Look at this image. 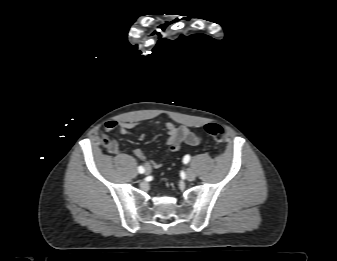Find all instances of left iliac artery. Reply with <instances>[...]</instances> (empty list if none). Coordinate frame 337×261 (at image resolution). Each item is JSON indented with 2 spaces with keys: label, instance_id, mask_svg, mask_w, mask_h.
Returning a JSON list of instances; mask_svg holds the SVG:
<instances>
[{
  "label": "left iliac artery",
  "instance_id": "44dca946",
  "mask_svg": "<svg viewBox=\"0 0 337 261\" xmlns=\"http://www.w3.org/2000/svg\"><path fill=\"white\" fill-rule=\"evenodd\" d=\"M189 161H190V156L189 155H185L184 158H183V162L185 164H187Z\"/></svg>",
  "mask_w": 337,
  "mask_h": 261
}]
</instances>
